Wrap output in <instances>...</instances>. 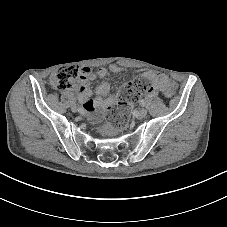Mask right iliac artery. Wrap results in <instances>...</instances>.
Here are the masks:
<instances>
[{"label": "right iliac artery", "mask_w": 227, "mask_h": 227, "mask_svg": "<svg viewBox=\"0 0 227 227\" xmlns=\"http://www.w3.org/2000/svg\"><path fill=\"white\" fill-rule=\"evenodd\" d=\"M78 112L83 113L84 115L86 114L84 108H82V107L78 108Z\"/></svg>", "instance_id": "right-iliac-artery-1"}]
</instances>
